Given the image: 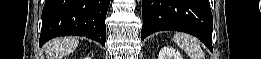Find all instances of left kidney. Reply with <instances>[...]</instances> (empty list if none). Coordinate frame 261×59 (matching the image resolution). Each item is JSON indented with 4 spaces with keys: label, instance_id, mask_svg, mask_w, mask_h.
<instances>
[{
    "label": "left kidney",
    "instance_id": "5707ae66",
    "mask_svg": "<svg viewBox=\"0 0 261 59\" xmlns=\"http://www.w3.org/2000/svg\"><path fill=\"white\" fill-rule=\"evenodd\" d=\"M158 59H183V57L174 48L164 47L160 50Z\"/></svg>",
    "mask_w": 261,
    "mask_h": 59
}]
</instances>
